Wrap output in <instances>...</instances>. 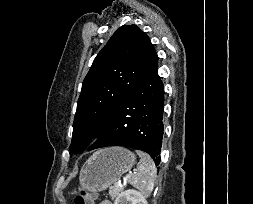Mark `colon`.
<instances>
[{
    "label": "colon",
    "instance_id": "colon-1",
    "mask_svg": "<svg viewBox=\"0 0 253 204\" xmlns=\"http://www.w3.org/2000/svg\"><path fill=\"white\" fill-rule=\"evenodd\" d=\"M95 196L86 190H82L74 200V204H94Z\"/></svg>",
    "mask_w": 253,
    "mask_h": 204
}]
</instances>
